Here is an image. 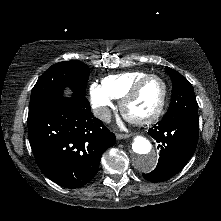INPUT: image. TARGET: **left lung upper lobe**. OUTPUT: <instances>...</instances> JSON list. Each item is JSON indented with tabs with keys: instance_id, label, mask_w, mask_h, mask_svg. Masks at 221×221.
Returning <instances> with one entry per match:
<instances>
[{
	"instance_id": "obj_1",
	"label": "left lung upper lobe",
	"mask_w": 221,
	"mask_h": 221,
	"mask_svg": "<svg viewBox=\"0 0 221 221\" xmlns=\"http://www.w3.org/2000/svg\"><path fill=\"white\" fill-rule=\"evenodd\" d=\"M172 80V96L170 106L163 119L185 117L199 126L198 104L192 85L177 71L166 67Z\"/></svg>"
}]
</instances>
